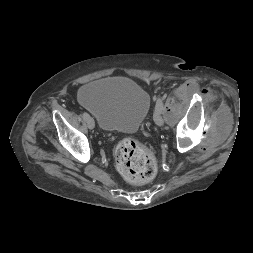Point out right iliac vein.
<instances>
[{
	"label": "right iliac vein",
	"mask_w": 253,
	"mask_h": 253,
	"mask_svg": "<svg viewBox=\"0 0 253 253\" xmlns=\"http://www.w3.org/2000/svg\"><path fill=\"white\" fill-rule=\"evenodd\" d=\"M86 122H87V125H88V128H89V129H94V127H95V122H94V120H93L91 117H88V118L86 119Z\"/></svg>",
	"instance_id": "1"
}]
</instances>
